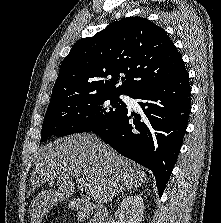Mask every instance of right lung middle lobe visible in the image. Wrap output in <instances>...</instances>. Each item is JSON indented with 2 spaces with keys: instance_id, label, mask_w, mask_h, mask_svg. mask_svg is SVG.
Returning a JSON list of instances; mask_svg holds the SVG:
<instances>
[{
  "instance_id": "right-lung-middle-lobe-1",
  "label": "right lung middle lobe",
  "mask_w": 221,
  "mask_h": 223,
  "mask_svg": "<svg viewBox=\"0 0 221 223\" xmlns=\"http://www.w3.org/2000/svg\"><path fill=\"white\" fill-rule=\"evenodd\" d=\"M126 109L119 94L74 95L51 102L42 126L41 142L48 137L66 136L99 128Z\"/></svg>"
}]
</instances>
